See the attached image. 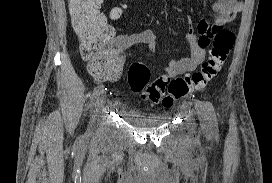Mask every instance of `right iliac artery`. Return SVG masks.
<instances>
[{
	"instance_id": "obj_1",
	"label": "right iliac artery",
	"mask_w": 272,
	"mask_h": 183,
	"mask_svg": "<svg viewBox=\"0 0 272 183\" xmlns=\"http://www.w3.org/2000/svg\"><path fill=\"white\" fill-rule=\"evenodd\" d=\"M103 92H104L103 85H99V86L95 87L92 94H91V99L94 97H97L98 95L102 94Z\"/></svg>"
}]
</instances>
